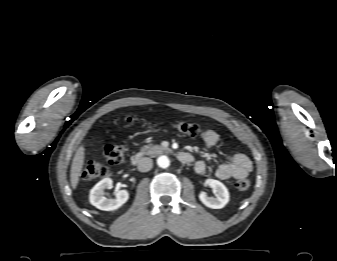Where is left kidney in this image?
<instances>
[{
    "label": "left kidney",
    "mask_w": 337,
    "mask_h": 261,
    "mask_svg": "<svg viewBox=\"0 0 337 261\" xmlns=\"http://www.w3.org/2000/svg\"><path fill=\"white\" fill-rule=\"evenodd\" d=\"M205 185L211 187L216 196L215 198L209 197L205 192H201L199 199L205 206L212 209H221L229 202V191L222 182L215 179H207Z\"/></svg>",
    "instance_id": "obj_1"
}]
</instances>
